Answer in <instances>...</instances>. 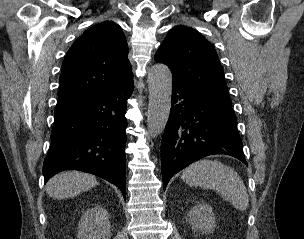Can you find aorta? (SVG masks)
<instances>
[{"label": "aorta", "mask_w": 304, "mask_h": 239, "mask_svg": "<svg viewBox=\"0 0 304 239\" xmlns=\"http://www.w3.org/2000/svg\"><path fill=\"white\" fill-rule=\"evenodd\" d=\"M148 89V131L155 137L165 129L171 109L172 74L166 65L158 63L149 69Z\"/></svg>", "instance_id": "aorta-1"}]
</instances>
